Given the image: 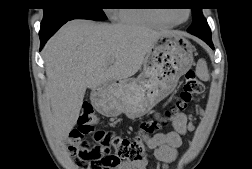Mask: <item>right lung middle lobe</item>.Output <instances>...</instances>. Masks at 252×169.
I'll return each mask as SVG.
<instances>
[{
	"label": "right lung middle lobe",
	"instance_id": "dd1d6c3e",
	"mask_svg": "<svg viewBox=\"0 0 252 169\" xmlns=\"http://www.w3.org/2000/svg\"><path fill=\"white\" fill-rule=\"evenodd\" d=\"M103 0H45L41 28L73 19L106 20Z\"/></svg>",
	"mask_w": 252,
	"mask_h": 169
}]
</instances>
